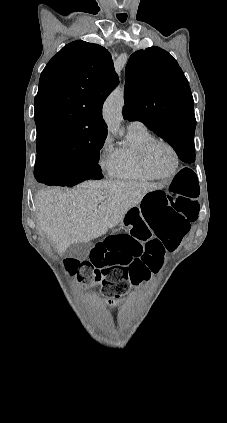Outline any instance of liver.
I'll return each instance as SVG.
<instances>
[{
  "mask_svg": "<svg viewBox=\"0 0 227 423\" xmlns=\"http://www.w3.org/2000/svg\"><path fill=\"white\" fill-rule=\"evenodd\" d=\"M152 182H84L72 190L45 188L36 196L38 231L65 253L72 243L91 241L114 229L126 211L160 190ZM103 200V202H100Z\"/></svg>",
  "mask_w": 227,
  "mask_h": 423,
  "instance_id": "6515ba94",
  "label": "liver"
}]
</instances>
